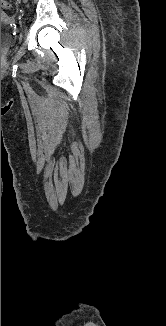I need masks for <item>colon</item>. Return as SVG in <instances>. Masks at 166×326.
<instances>
[{
  "instance_id": "1",
  "label": "colon",
  "mask_w": 166,
  "mask_h": 326,
  "mask_svg": "<svg viewBox=\"0 0 166 326\" xmlns=\"http://www.w3.org/2000/svg\"><path fill=\"white\" fill-rule=\"evenodd\" d=\"M10 2L7 0H1V8H9Z\"/></svg>"
}]
</instances>
